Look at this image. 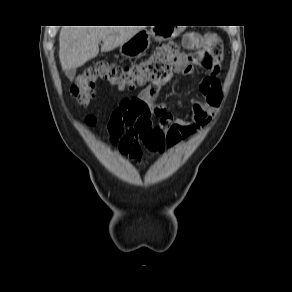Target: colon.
Listing matches in <instances>:
<instances>
[{
	"label": "colon",
	"instance_id": "1",
	"mask_svg": "<svg viewBox=\"0 0 292 292\" xmlns=\"http://www.w3.org/2000/svg\"><path fill=\"white\" fill-rule=\"evenodd\" d=\"M208 39L212 44L219 41L216 36ZM201 40L193 33L185 37V43L191 48L199 47ZM176 69L188 70V66L175 43L164 44L148 58L133 65L104 60L87 67L77 76L71 93L82 107H87L95 98L94 89L98 81L121 90L149 84L138 96L120 102L110 116L108 134L111 142L116 144L127 127L135 126L141 132L144 148L150 153H158L163 147V134L154 125L162 106L159 83ZM88 123L93 124L94 119L89 117Z\"/></svg>",
	"mask_w": 292,
	"mask_h": 292
}]
</instances>
